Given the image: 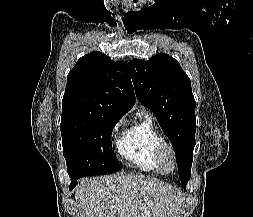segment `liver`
Returning <instances> with one entry per match:
<instances>
[{"mask_svg": "<svg viewBox=\"0 0 253 217\" xmlns=\"http://www.w3.org/2000/svg\"><path fill=\"white\" fill-rule=\"evenodd\" d=\"M80 217H177L181 193L139 175L86 178L75 188Z\"/></svg>", "mask_w": 253, "mask_h": 217, "instance_id": "6515ba94", "label": "liver"}]
</instances>
